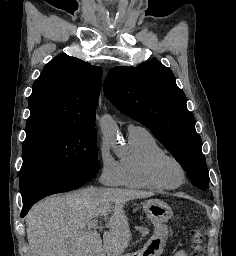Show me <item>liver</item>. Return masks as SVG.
Listing matches in <instances>:
<instances>
[{
	"mask_svg": "<svg viewBox=\"0 0 236 256\" xmlns=\"http://www.w3.org/2000/svg\"><path fill=\"white\" fill-rule=\"evenodd\" d=\"M139 190L85 188L72 194L49 196L35 204L26 216L31 256H120L131 240L124 204L150 198ZM103 216L107 232H85L86 224Z\"/></svg>",
	"mask_w": 236,
	"mask_h": 256,
	"instance_id": "1",
	"label": "liver"
}]
</instances>
